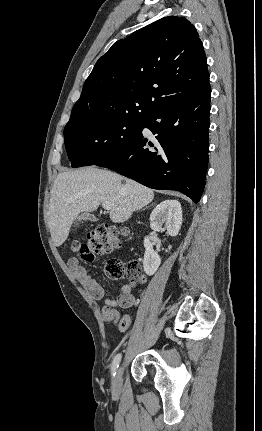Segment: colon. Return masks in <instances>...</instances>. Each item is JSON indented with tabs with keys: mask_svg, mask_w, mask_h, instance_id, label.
<instances>
[{
	"mask_svg": "<svg viewBox=\"0 0 262 431\" xmlns=\"http://www.w3.org/2000/svg\"><path fill=\"white\" fill-rule=\"evenodd\" d=\"M126 229L119 230L108 224H100L88 234L85 241L73 240L71 249L77 253L80 260L91 262L97 255L106 254L120 246L119 236L127 235ZM105 273L111 279H121L128 275L130 278H137L140 275V268L136 261L127 264L114 259L105 265ZM107 322H112L119 329L125 330L130 325V320L126 316L113 317L104 314Z\"/></svg>",
	"mask_w": 262,
	"mask_h": 431,
	"instance_id": "obj_1",
	"label": "colon"
}]
</instances>
